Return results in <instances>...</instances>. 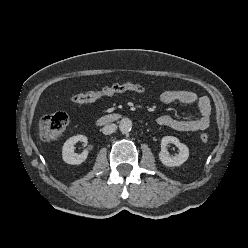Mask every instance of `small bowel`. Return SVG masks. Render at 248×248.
I'll return each mask as SVG.
<instances>
[{
	"mask_svg": "<svg viewBox=\"0 0 248 248\" xmlns=\"http://www.w3.org/2000/svg\"><path fill=\"white\" fill-rule=\"evenodd\" d=\"M160 101L164 104H197L200 117L197 119H177L170 115H160L156 119L159 125L180 132L202 131L209 127L212 108L208 97L198 96L195 92L188 90H165L160 94Z\"/></svg>",
	"mask_w": 248,
	"mask_h": 248,
	"instance_id": "1",
	"label": "small bowel"
}]
</instances>
